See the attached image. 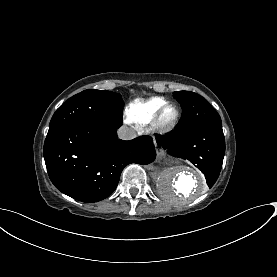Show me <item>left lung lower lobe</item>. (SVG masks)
Listing matches in <instances>:
<instances>
[{"instance_id": "left-lung-lower-lobe-1", "label": "left lung lower lobe", "mask_w": 277, "mask_h": 277, "mask_svg": "<svg viewBox=\"0 0 277 277\" xmlns=\"http://www.w3.org/2000/svg\"><path fill=\"white\" fill-rule=\"evenodd\" d=\"M159 147L173 157L188 159L205 175L211 188L216 182L225 154L222 123L177 129L168 135H156Z\"/></svg>"}]
</instances>
